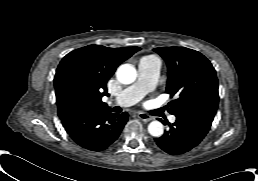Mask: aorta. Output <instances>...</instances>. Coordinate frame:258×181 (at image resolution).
Wrapping results in <instances>:
<instances>
[{"label":"aorta","instance_id":"obj_1","mask_svg":"<svg viewBox=\"0 0 258 181\" xmlns=\"http://www.w3.org/2000/svg\"><path fill=\"white\" fill-rule=\"evenodd\" d=\"M116 77L122 84H132L136 80L137 71L133 65L123 64L117 69ZM163 130V124L159 121H152L148 125V132L154 137H160Z\"/></svg>","mask_w":258,"mask_h":181}]
</instances>
